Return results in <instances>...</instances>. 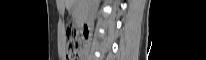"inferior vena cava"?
<instances>
[{
	"label": "inferior vena cava",
	"instance_id": "obj_1",
	"mask_svg": "<svg viewBox=\"0 0 206 60\" xmlns=\"http://www.w3.org/2000/svg\"><path fill=\"white\" fill-rule=\"evenodd\" d=\"M93 13L92 12H89V21H93Z\"/></svg>",
	"mask_w": 206,
	"mask_h": 60
}]
</instances>
